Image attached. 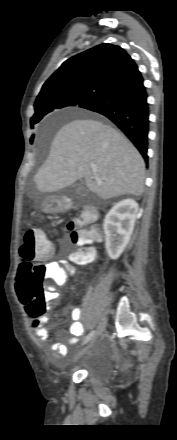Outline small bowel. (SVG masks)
<instances>
[{
    "instance_id": "1",
    "label": "small bowel",
    "mask_w": 177,
    "mask_h": 440,
    "mask_svg": "<svg viewBox=\"0 0 177 440\" xmlns=\"http://www.w3.org/2000/svg\"><path fill=\"white\" fill-rule=\"evenodd\" d=\"M52 252H53V248H52ZM47 265L49 266L50 269V280H52L57 284H63L67 278V275L63 270V267L65 266L64 262L50 261L47 263ZM48 295L51 300H56L59 298L58 293L54 291L49 292ZM52 308H54V306ZM82 314H83L82 308L76 307L72 309L71 322L69 323V331L72 335L71 339L69 340L70 344L76 343L84 333V328L80 321L82 318ZM47 322H48L47 316L33 317L32 319V330L34 334L43 342L52 341L49 331L44 327V325ZM50 351L53 357L62 358L67 353V346L63 343H51Z\"/></svg>"
}]
</instances>
